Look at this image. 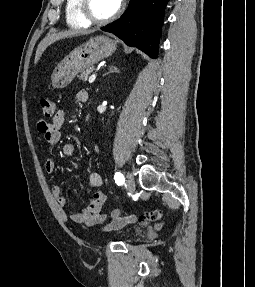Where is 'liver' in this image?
<instances>
[{
    "mask_svg": "<svg viewBox=\"0 0 255 287\" xmlns=\"http://www.w3.org/2000/svg\"><path fill=\"white\" fill-rule=\"evenodd\" d=\"M93 32H95V30H84V32H79V30H68V32H60V34H48V36H46V38L40 42L36 50L34 64L39 62L46 48L51 46V44H54V42H57V40H64V38H74V36H79V34H93Z\"/></svg>",
    "mask_w": 255,
    "mask_h": 287,
    "instance_id": "6515ba94",
    "label": "liver"
}]
</instances>
